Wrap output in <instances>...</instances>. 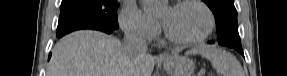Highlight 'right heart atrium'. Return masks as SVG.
<instances>
[{
  "mask_svg": "<svg viewBox=\"0 0 287 76\" xmlns=\"http://www.w3.org/2000/svg\"><path fill=\"white\" fill-rule=\"evenodd\" d=\"M120 24L127 34L143 40H152L160 32L159 22L148 17L134 4H127L123 8Z\"/></svg>",
  "mask_w": 287,
  "mask_h": 76,
  "instance_id": "right-heart-atrium-1",
  "label": "right heart atrium"
}]
</instances>
